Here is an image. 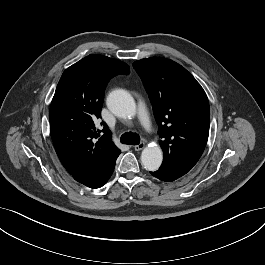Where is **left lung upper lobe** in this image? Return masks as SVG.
Wrapping results in <instances>:
<instances>
[{"mask_svg": "<svg viewBox=\"0 0 265 265\" xmlns=\"http://www.w3.org/2000/svg\"><path fill=\"white\" fill-rule=\"evenodd\" d=\"M151 100L164 153L159 172L176 180L199 160L209 135V102L181 65L162 57L133 63Z\"/></svg>", "mask_w": 265, "mask_h": 265, "instance_id": "5c2ea615", "label": "left lung upper lobe"}]
</instances>
